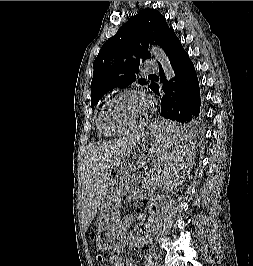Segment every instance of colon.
Wrapping results in <instances>:
<instances>
[{
  "label": "colon",
  "instance_id": "obj_1",
  "mask_svg": "<svg viewBox=\"0 0 253 266\" xmlns=\"http://www.w3.org/2000/svg\"><path fill=\"white\" fill-rule=\"evenodd\" d=\"M97 260L99 263H102L103 262V257L101 255H98L97 256ZM118 265V262L116 259H110L108 264H103L102 263V266H117Z\"/></svg>",
  "mask_w": 253,
  "mask_h": 266
}]
</instances>
